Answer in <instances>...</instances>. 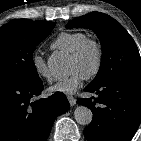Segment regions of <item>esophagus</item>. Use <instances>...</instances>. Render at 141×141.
Wrapping results in <instances>:
<instances>
[{"label":"esophagus","mask_w":141,"mask_h":141,"mask_svg":"<svg viewBox=\"0 0 141 141\" xmlns=\"http://www.w3.org/2000/svg\"><path fill=\"white\" fill-rule=\"evenodd\" d=\"M67 99H68V101H69V104L71 105V106H74L75 104H76V99L73 97V96H67Z\"/></svg>","instance_id":"obj_1"}]
</instances>
